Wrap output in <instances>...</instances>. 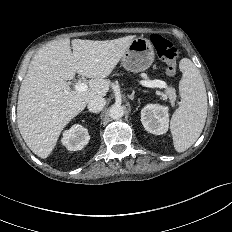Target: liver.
<instances>
[{
    "mask_svg": "<svg viewBox=\"0 0 232 232\" xmlns=\"http://www.w3.org/2000/svg\"><path fill=\"white\" fill-rule=\"evenodd\" d=\"M135 35L93 41L65 38L43 46L32 58L22 81L17 105V122L27 146L40 158L54 149L63 128L90 100L104 97L108 77ZM78 73L90 78L86 91H73L67 80Z\"/></svg>",
    "mask_w": 232,
    "mask_h": 232,
    "instance_id": "obj_1",
    "label": "liver"
}]
</instances>
